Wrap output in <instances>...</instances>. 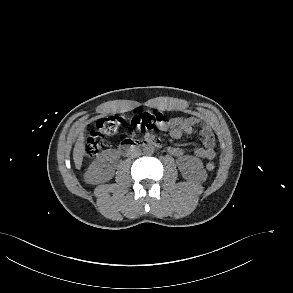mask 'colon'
Wrapping results in <instances>:
<instances>
[{"mask_svg": "<svg viewBox=\"0 0 293 293\" xmlns=\"http://www.w3.org/2000/svg\"><path fill=\"white\" fill-rule=\"evenodd\" d=\"M166 122V114L163 112H141L135 114L130 123L140 131H148L160 127ZM122 124L120 116H106L96 122L95 129L88 135L84 144V154L87 158L98 155L103 147V136L111 135L118 131ZM214 163L206 165L207 171L214 170Z\"/></svg>", "mask_w": 293, "mask_h": 293, "instance_id": "colon-1", "label": "colon"}]
</instances>
